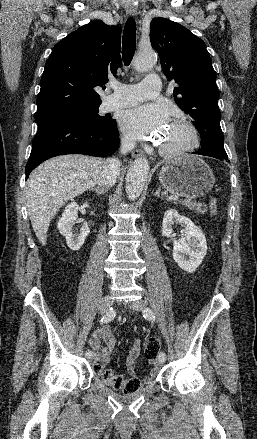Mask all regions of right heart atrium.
I'll return each instance as SVG.
<instances>
[{"mask_svg": "<svg viewBox=\"0 0 257 439\" xmlns=\"http://www.w3.org/2000/svg\"><path fill=\"white\" fill-rule=\"evenodd\" d=\"M124 143H125L126 145H129V144H130V140H129L128 138H124Z\"/></svg>", "mask_w": 257, "mask_h": 439, "instance_id": "obj_1", "label": "right heart atrium"}]
</instances>
